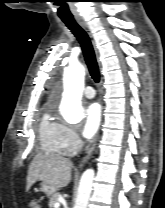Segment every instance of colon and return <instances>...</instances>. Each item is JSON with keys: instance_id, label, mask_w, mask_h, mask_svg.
Segmentation results:
<instances>
[{"instance_id": "1", "label": "colon", "mask_w": 165, "mask_h": 208, "mask_svg": "<svg viewBox=\"0 0 165 208\" xmlns=\"http://www.w3.org/2000/svg\"><path fill=\"white\" fill-rule=\"evenodd\" d=\"M29 208H42V207L38 201L33 200L29 203Z\"/></svg>"}]
</instances>
